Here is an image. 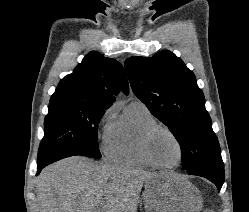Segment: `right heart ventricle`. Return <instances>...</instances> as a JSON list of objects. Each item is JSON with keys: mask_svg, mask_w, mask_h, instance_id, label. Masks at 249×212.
I'll return each instance as SVG.
<instances>
[{"mask_svg": "<svg viewBox=\"0 0 249 212\" xmlns=\"http://www.w3.org/2000/svg\"><path fill=\"white\" fill-rule=\"evenodd\" d=\"M152 124H157L156 118L144 103L137 100L128 103L107 128L106 156L124 165L152 167L143 156L140 145L143 131Z\"/></svg>", "mask_w": 249, "mask_h": 212, "instance_id": "obj_1", "label": "right heart ventricle"}]
</instances>
